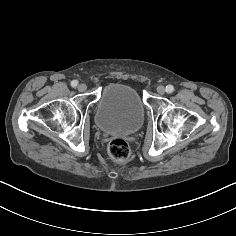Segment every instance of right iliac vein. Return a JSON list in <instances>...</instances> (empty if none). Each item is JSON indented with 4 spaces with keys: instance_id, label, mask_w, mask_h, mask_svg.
<instances>
[{
    "instance_id": "right-iliac-vein-1",
    "label": "right iliac vein",
    "mask_w": 236,
    "mask_h": 236,
    "mask_svg": "<svg viewBox=\"0 0 236 236\" xmlns=\"http://www.w3.org/2000/svg\"><path fill=\"white\" fill-rule=\"evenodd\" d=\"M86 89H87V85L86 84L81 83V84L78 85V90L80 92H84V91H86Z\"/></svg>"
}]
</instances>
